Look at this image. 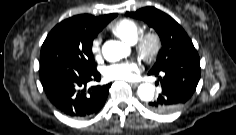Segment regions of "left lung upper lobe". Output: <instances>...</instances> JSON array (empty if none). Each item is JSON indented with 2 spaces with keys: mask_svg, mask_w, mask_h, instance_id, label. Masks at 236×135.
Returning <instances> with one entry per match:
<instances>
[{
  "mask_svg": "<svg viewBox=\"0 0 236 135\" xmlns=\"http://www.w3.org/2000/svg\"><path fill=\"white\" fill-rule=\"evenodd\" d=\"M133 18L144 20L158 33L162 48L150 71L159 72L172 66L185 64L193 54L198 55L191 39L183 28L169 15L155 7H145L127 12Z\"/></svg>",
  "mask_w": 236,
  "mask_h": 135,
  "instance_id": "5c2ea615",
  "label": "left lung upper lobe"
}]
</instances>
